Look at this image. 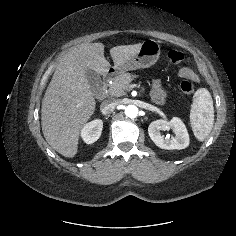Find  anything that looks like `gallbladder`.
Wrapping results in <instances>:
<instances>
[{
  "label": "gallbladder",
  "instance_id": "1",
  "mask_svg": "<svg viewBox=\"0 0 236 236\" xmlns=\"http://www.w3.org/2000/svg\"><path fill=\"white\" fill-rule=\"evenodd\" d=\"M86 78L92 92L98 93L102 86V80L99 74L92 69H86Z\"/></svg>",
  "mask_w": 236,
  "mask_h": 236
}]
</instances>
